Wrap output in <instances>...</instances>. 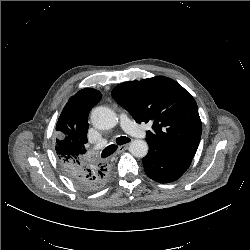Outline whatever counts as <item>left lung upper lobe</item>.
I'll return each instance as SVG.
<instances>
[{
    "instance_id": "5c2ea615",
    "label": "left lung upper lobe",
    "mask_w": 250,
    "mask_h": 250,
    "mask_svg": "<svg viewBox=\"0 0 250 250\" xmlns=\"http://www.w3.org/2000/svg\"><path fill=\"white\" fill-rule=\"evenodd\" d=\"M112 96L137 123H153L146 136L150 148L170 156L194 157L201 120L194 98L179 83L164 76L128 81L116 86Z\"/></svg>"
}]
</instances>
